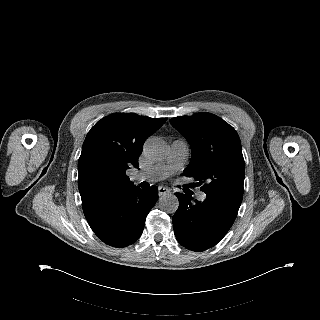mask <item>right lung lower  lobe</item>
Listing matches in <instances>:
<instances>
[{
    "mask_svg": "<svg viewBox=\"0 0 320 320\" xmlns=\"http://www.w3.org/2000/svg\"><path fill=\"white\" fill-rule=\"evenodd\" d=\"M158 199V189L138 186L108 191L83 203V212L93 232L107 245L123 248L142 234L146 217Z\"/></svg>",
    "mask_w": 320,
    "mask_h": 320,
    "instance_id": "98d812e1",
    "label": "right lung lower lobe"
}]
</instances>
